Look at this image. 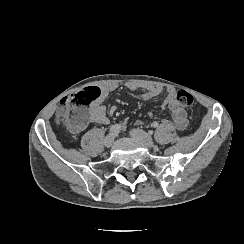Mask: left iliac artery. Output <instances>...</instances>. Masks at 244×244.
Wrapping results in <instances>:
<instances>
[{
    "instance_id": "1",
    "label": "left iliac artery",
    "mask_w": 244,
    "mask_h": 244,
    "mask_svg": "<svg viewBox=\"0 0 244 244\" xmlns=\"http://www.w3.org/2000/svg\"><path fill=\"white\" fill-rule=\"evenodd\" d=\"M158 125H159V124H158V122H156V121L152 123V126H153L154 128H157Z\"/></svg>"
}]
</instances>
